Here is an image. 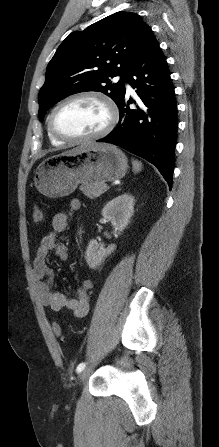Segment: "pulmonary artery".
<instances>
[{
	"mask_svg": "<svg viewBox=\"0 0 219 447\" xmlns=\"http://www.w3.org/2000/svg\"><path fill=\"white\" fill-rule=\"evenodd\" d=\"M126 86H127V90H128L129 92H132V88H131V86H130L129 84H126Z\"/></svg>",
	"mask_w": 219,
	"mask_h": 447,
	"instance_id": "e3ab8cb5",
	"label": "pulmonary artery"
}]
</instances>
